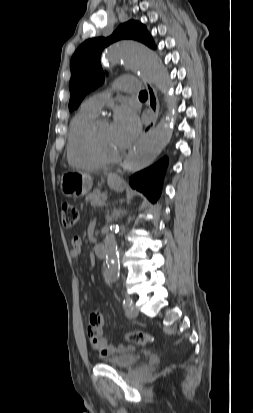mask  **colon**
<instances>
[{
	"label": "colon",
	"mask_w": 253,
	"mask_h": 413,
	"mask_svg": "<svg viewBox=\"0 0 253 413\" xmlns=\"http://www.w3.org/2000/svg\"><path fill=\"white\" fill-rule=\"evenodd\" d=\"M60 212L64 226L72 227L76 224L78 220V211L73 204L63 201L60 205ZM125 340L134 344H146L152 341V336L141 331H130L125 335Z\"/></svg>",
	"instance_id": "1"
}]
</instances>
